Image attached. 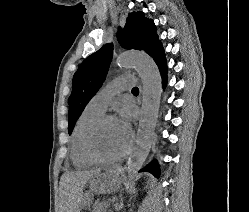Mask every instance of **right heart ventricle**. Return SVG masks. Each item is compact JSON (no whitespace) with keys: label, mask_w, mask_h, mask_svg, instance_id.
<instances>
[{"label":"right heart ventricle","mask_w":249,"mask_h":212,"mask_svg":"<svg viewBox=\"0 0 249 212\" xmlns=\"http://www.w3.org/2000/svg\"><path fill=\"white\" fill-rule=\"evenodd\" d=\"M101 115L103 112L88 103L75 122L69 140V158L75 168L86 169L94 165L84 153L83 142L88 128Z\"/></svg>","instance_id":"1"}]
</instances>
